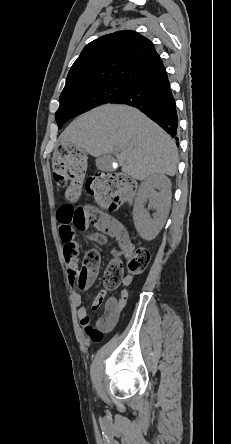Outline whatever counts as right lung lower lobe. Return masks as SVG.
Here are the masks:
<instances>
[{
  "label": "right lung lower lobe",
  "instance_id": "98d812e1",
  "mask_svg": "<svg viewBox=\"0 0 231 444\" xmlns=\"http://www.w3.org/2000/svg\"><path fill=\"white\" fill-rule=\"evenodd\" d=\"M116 104L138 108L167 131L179 144L178 116L166 71L137 82Z\"/></svg>",
  "mask_w": 231,
  "mask_h": 444
}]
</instances>
